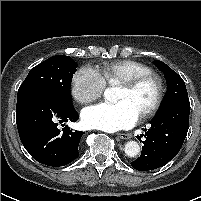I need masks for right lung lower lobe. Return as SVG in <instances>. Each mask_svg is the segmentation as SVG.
I'll return each mask as SVG.
<instances>
[{"instance_id":"right-lung-lower-lobe-1","label":"right lung lower lobe","mask_w":201,"mask_h":201,"mask_svg":"<svg viewBox=\"0 0 201 201\" xmlns=\"http://www.w3.org/2000/svg\"><path fill=\"white\" fill-rule=\"evenodd\" d=\"M78 118L73 106L48 94L33 93L17 100L16 122L21 142L34 159L48 166H64L78 157L83 132L72 131L65 124L62 130L58 126Z\"/></svg>"}]
</instances>
